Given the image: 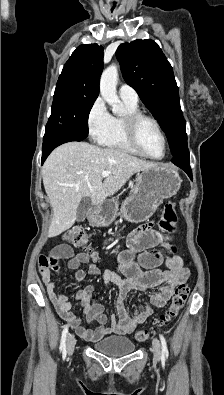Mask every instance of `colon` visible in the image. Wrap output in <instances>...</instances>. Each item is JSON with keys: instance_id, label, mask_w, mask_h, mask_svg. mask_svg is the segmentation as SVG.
<instances>
[{"instance_id": "obj_1", "label": "colon", "mask_w": 224, "mask_h": 395, "mask_svg": "<svg viewBox=\"0 0 224 395\" xmlns=\"http://www.w3.org/2000/svg\"><path fill=\"white\" fill-rule=\"evenodd\" d=\"M178 214L175 204L167 203L163 208V215L160 221L162 230L168 233H174L177 229L176 223ZM64 239L75 247L83 248L89 256L96 258V254L89 243V236L82 227H73L64 234ZM169 252H175V246L170 244L167 246ZM58 259L51 255H41L39 257V268L41 271L57 270ZM190 293V286L186 282L179 283L175 289L169 308L155 321L156 327L164 326L170 323L179 313L180 309L186 303ZM150 331L147 329L137 330L134 337L137 341H146Z\"/></svg>"}]
</instances>
